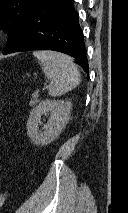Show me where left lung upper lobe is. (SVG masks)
I'll list each match as a JSON object with an SVG mask.
<instances>
[{"label": "left lung upper lobe", "instance_id": "1", "mask_svg": "<svg viewBox=\"0 0 128 213\" xmlns=\"http://www.w3.org/2000/svg\"><path fill=\"white\" fill-rule=\"evenodd\" d=\"M38 0H0V28L9 36L5 50L27 20Z\"/></svg>", "mask_w": 128, "mask_h": 213}]
</instances>
